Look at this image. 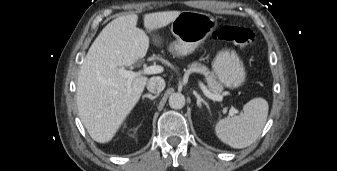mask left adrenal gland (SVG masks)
I'll return each instance as SVG.
<instances>
[{"instance_id": "left-adrenal-gland-1", "label": "left adrenal gland", "mask_w": 337, "mask_h": 171, "mask_svg": "<svg viewBox=\"0 0 337 171\" xmlns=\"http://www.w3.org/2000/svg\"><path fill=\"white\" fill-rule=\"evenodd\" d=\"M193 94L197 98V106L199 108H201V103H203L209 109L208 103L196 91H193Z\"/></svg>"}]
</instances>
